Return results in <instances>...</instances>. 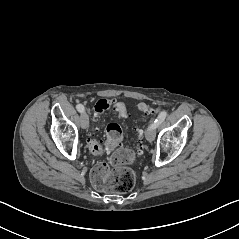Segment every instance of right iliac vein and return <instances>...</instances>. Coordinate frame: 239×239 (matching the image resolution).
<instances>
[{"label":"right iliac vein","mask_w":239,"mask_h":239,"mask_svg":"<svg viewBox=\"0 0 239 239\" xmlns=\"http://www.w3.org/2000/svg\"><path fill=\"white\" fill-rule=\"evenodd\" d=\"M80 125L83 129L88 128L89 126V117L87 113H82L80 116Z\"/></svg>","instance_id":"1"}]
</instances>
